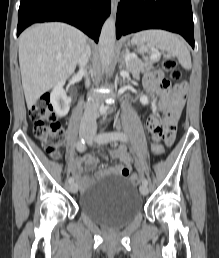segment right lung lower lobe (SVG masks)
<instances>
[{
	"label": "right lung lower lobe",
	"mask_w": 219,
	"mask_h": 258,
	"mask_svg": "<svg viewBox=\"0 0 219 258\" xmlns=\"http://www.w3.org/2000/svg\"><path fill=\"white\" fill-rule=\"evenodd\" d=\"M111 11V0H21L17 36L37 22L69 23L98 42L101 27Z\"/></svg>",
	"instance_id": "1"
}]
</instances>
